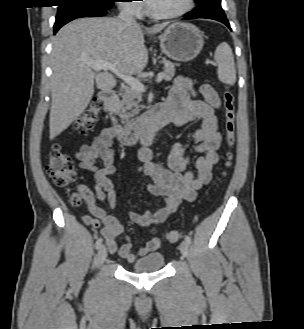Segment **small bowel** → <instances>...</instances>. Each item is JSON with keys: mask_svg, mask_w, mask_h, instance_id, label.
<instances>
[{"mask_svg": "<svg viewBox=\"0 0 304 329\" xmlns=\"http://www.w3.org/2000/svg\"><path fill=\"white\" fill-rule=\"evenodd\" d=\"M197 93L203 96L204 101L195 98ZM220 104L219 95L210 84H202L196 91L189 78L178 77L175 80L162 105L170 109L172 123L176 126L202 120L201 126L190 134L195 151L201 155L195 162L196 170H191V158L184 145L177 142L173 145L167 167L152 161H144L136 167L151 178L147 185L148 192L153 197H164V202L156 212H130L129 218L133 223L140 226L162 224L179 203L193 201L197 191L211 181L212 168L219 160L218 150L222 142L215 115ZM115 135L114 127L104 128L91 143L83 145L77 151L76 159L80 168L94 174V189L79 185L78 191L91 214L83 216V222L101 232L111 254L133 263L147 253L161 250L162 241L152 238L144 247L133 251L132 241L124 234L121 223L97 204L99 201L110 208L115 206L116 192L114 184L108 178L116 171L112 150ZM99 163L103 164L102 168ZM120 239H123V243L119 246Z\"/></svg>", "mask_w": 304, "mask_h": 329, "instance_id": "c3829d8e", "label": "small bowel"}]
</instances>
